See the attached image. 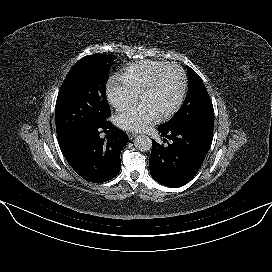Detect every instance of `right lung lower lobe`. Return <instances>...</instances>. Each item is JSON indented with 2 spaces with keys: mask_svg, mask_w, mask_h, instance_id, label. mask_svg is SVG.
<instances>
[{
  "mask_svg": "<svg viewBox=\"0 0 272 272\" xmlns=\"http://www.w3.org/2000/svg\"><path fill=\"white\" fill-rule=\"evenodd\" d=\"M101 129L111 132L101 138ZM127 142V134L107 122L100 128L88 129L73 136L61 150L78 175L89 182L102 183L120 172V152Z\"/></svg>",
  "mask_w": 272,
  "mask_h": 272,
  "instance_id": "obj_1",
  "label": "right lung lower lobe"
}]
</instances>
